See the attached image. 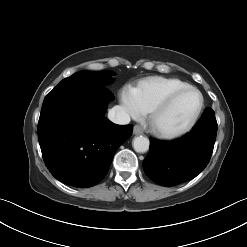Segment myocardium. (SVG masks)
I'll use <instances>...</instances> for the list:
<instances>
[{"mask_svg": "<svg viewBox=\"0 0 247 247\" xmlns=\"http://www.w3.org/2000/svg\"><path fill=\"white\" fill-rule=\"evenodd\" d=\"M187 92H196V93H198V95L200 97L199 106H198L196 112L194 113V115L192 116V118L190 119V121L185 126H183L182 128L174 130V131H167V130H163V129L159 128L157 123H156L158 117L164 111H166L179 96H181ZM204 105H205L204 96H203L202 92L195 87L189 86V87L174 91L173 93L168 95L166 98H164L162 101H160L157 105H155L151 109L150 114H149V118H148L150 128L156 135H158L159 137L164 138V139H175V138H179L181 136H184L187 133H189L195 127L197 122L199 121L200 116H201L203 109H204Z\"/></svg>", "mask_w": 247, "mask_h": 247, "instance_id": "1", "label": "myocardium"}]
</instances>
